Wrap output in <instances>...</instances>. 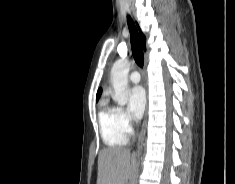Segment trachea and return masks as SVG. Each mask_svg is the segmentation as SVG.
Segmentation results:
<instances>
[{
    "label": "trachea",
    "instance_id": "3493384b",
    "mask_svg": "<svg viewBox=\"0 0 235 184\" xmlns=\"http://www.w3.org/2000/svg\"><path fill=\"white\" fill-rule=\"evenodd\" d=\"M127 21H128V27L130 30V40H131V48H132L133 57L136 61V64L139 67H143L144 55H143V49L141 46L137 29L135 27L133 20L131 19L129 15L127 17Z\"/></svg>",
    "mask_w": 235,
    "mask_h": 184
}]
</instances>
